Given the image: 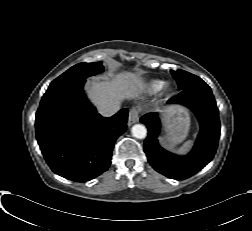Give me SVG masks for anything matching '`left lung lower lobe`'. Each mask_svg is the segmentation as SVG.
Masks as SVG:
<instances>
[{"instance_id":"left-lung-lower-lobe-1","label":"left lung lower lobe","mask_w":252,"mask_h":231,"mask_svg":"<svg viewBox=\"0 0 252 231\" xmlns=\"http://www.w3.org/2000/svg\"><path fill=\"white\" fill-rule=\"evenodd\" d=\"M169 103L183 104L196 114L200 133L193 150L183 157L164 150L157 139L160 132L158 114L148 113L140 119L148 128L144 151L157 172L182 180L200 171L213 159L220 136L219 111L209 86L182 90Z\"/></svg>"}]
</instances>
